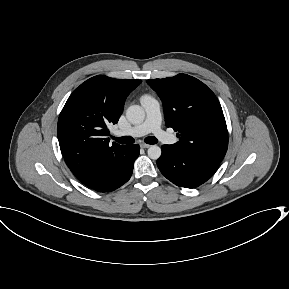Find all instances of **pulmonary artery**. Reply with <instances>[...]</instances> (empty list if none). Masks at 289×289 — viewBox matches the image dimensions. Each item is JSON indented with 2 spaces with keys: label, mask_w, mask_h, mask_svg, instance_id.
I'll use <instances>...</instances> for the list:
<instances>
[{
  "label": "pulmonary artery",
  "mask_w": 289,
  "mask_h": 289,
  "mask_svg": "<svg viewBox=\"0 0 289 289\" xmlns=\"http://www.w3.org/2000/svg\"><path fill=\"white\" fill-rule=\"evenodd\" d=\"M141 105L146 113L145 120L141 124L127 130H118L115 134L117 136L140 137L152 133L161 142L174 144L177 139L161 127L162 114L159 102L153 97L144 96L141 98Z\"/></svg>",
  "instance_id": "e3ab8cb5"
}]
</instances>
